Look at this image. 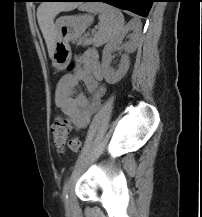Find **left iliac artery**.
Wrapping results in <instances>:
<instances>
[{
    "mask_svg": "<svg viewBox=\"0 0 202 217\" xmlns=\"http://www.w3.org/2000/svg\"><path fill=\"white\" fill-rule=\"evenodd\" d=\"M72 179H73V176H71L70 178H69V180L64 184V186H63V198L64 199H66L68 196H67V192H68V190H69V187H70V183H71V181H72Z\"/></svg>",
    "mask_w": 202,
    "mask_h": 217,
    "instance_id": "44dca946",
    "label": "left iliac artery"
}]
</instances>
